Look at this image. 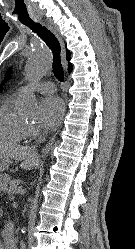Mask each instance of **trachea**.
I'll list each match as a JSON object with an SVG mask.
<instances>
[{"instance_id":"1","label":"trachea","mask_w":135,"mask_h":249,"mask_svg":"<svg viewBox=\"0 0 135 249\" xmlns=\"http://www.w3.org/2000/svg\"><path fill=\"white\" fill-rule=\"evenodd\" d=\"M24 25L28 26L33 32L37 33L38 36L47 44L53 53V73L59 81L64 80V71L61 64V47L58 39L55 35L48 30L46 27H42L39 23L25 22Z\"/></svg>"}]
</instances>
